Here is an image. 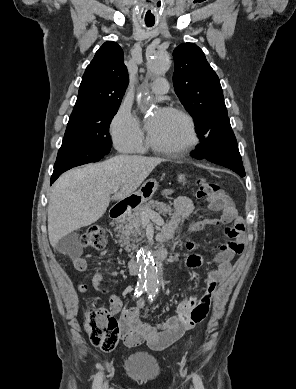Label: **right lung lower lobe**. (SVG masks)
Wrapping results in <instances>:
<instances>
[{"instance_id": "98d812e1", "label": "right lung lower lobe", "mask_w": 296, "mask_h": 389, "mask_svg": "<svg viewBox=\"0 0 296 389\" xmlns=\"http://www.w3.org/2000/svg\"><path fill=\"white\" fill-rule=\"evenodd\" d=\"M64 171H66V169H63V170H54L53 171V174L51 176V183H53Z\"/></svg>"}]
</instances>
